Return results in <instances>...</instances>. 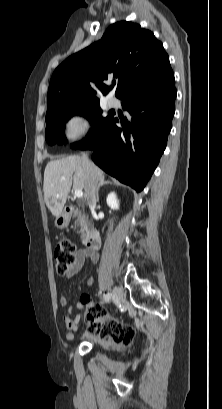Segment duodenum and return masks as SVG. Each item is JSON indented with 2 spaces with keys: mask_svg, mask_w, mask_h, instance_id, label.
Segmentation results:
<instances>
[{
  "mask_svg": "<svg viewBox=\"0 0 222 409\" xmlns=\"http://www.w3.org/2000/svg\"><path fill=\"white\" fill-rule=\"evenodd\" d=\"M73 207H68L67 212L71 213ZM101 235L96 228H92L85 238V246L88 251H96L101 247Z\"/></svg>",
  "mask_w": 222,
  "mask_h": 409,
  "instance_id": "410a0bca",
  "label": "duodenum"
}]
</instances>
